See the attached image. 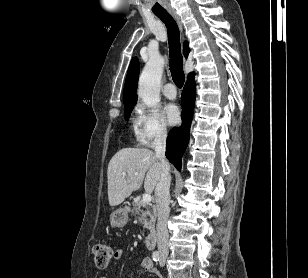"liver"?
I'll return each instance as SVG.
<instances>
[{
    "instance_id": "6515ba94",
    "label": "liver",
    "mask_w": 308,
    "mask_h": 278,
    "mask_svg": "<svg viewBox=\"0 0 308 278\" xmlns=\"http://www.w3.org/2000/svg\"><path fill=\"white\" fill-rule=\"evenodd\" d=\"M125 172V175H123ZM162 167L156 154L147 148H122L110 160L107 170L110 206L121 204L144 182L152 193L160 179Z\"/></svg>"
}]
</instances>
